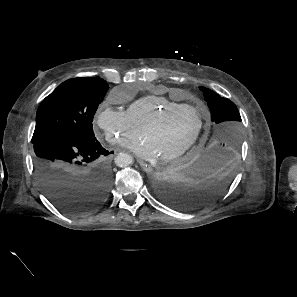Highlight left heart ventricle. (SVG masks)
Instances as JSON below:
<instances>
[{"instance_id":"obj_1","label":"left heart ventricle","mask_w":297,"mask_h":297,"mask_svg":"<svg viewBox=\"0 0 297 297\" xmlns=\"http://www.w3.org/2000/svg\"><path fill=\"white\" fill-rule=\"evenodd\" d=\"M197 126V113L191 109H183L166 116L156 126L149 128L143 137L152 142L162 157L183 146L194 134Z\"/></svg>"}]
</instances>
